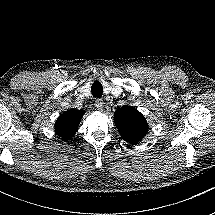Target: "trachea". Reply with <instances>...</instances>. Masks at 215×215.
Segmentation results:
<instances>
[{
  "label": "trachea",
  "instance_id": "obj_1",
  "mask_svg": "<svg viewBox=\"0 0 215 215\" xmlns=\"http://www.w3.org/2000/svg\"><path fill=\"white\" fill-rule=\"evenodd\" d=\"M91 92H92V95L96 98H99L102 96V93H103V87H102V84L98 81V80H95L91 86Z\"/></svg>",
  "mask_w": 215,
  "mask_h": 215
}]
</instances>
